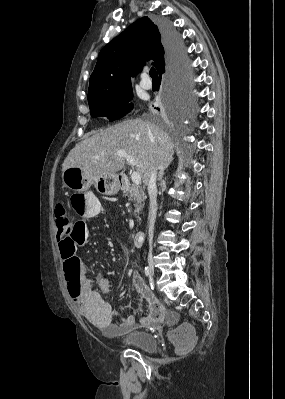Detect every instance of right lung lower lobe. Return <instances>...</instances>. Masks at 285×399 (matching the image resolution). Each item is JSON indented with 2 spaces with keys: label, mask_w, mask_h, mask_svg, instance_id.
<instances>
[{
  "label": "right lung lower lobe",
  "mask_w": 285,
  "mask_h": 399,
  "mask_svg": "<svg viewBox=\"0 0 285 399\" xmlns=\"http://www.w3.org/2000/svg\"><path fill=\"white\" fill-rule=\"evenodd\" d=\"M159 29L163 39L167 62L166 69L164 67L159 73L160 80L162 74L166 72L167 80L174 86L183 75L182 64L185 59L183 43L169 22H161Z\"/></svg>",
  "instance_id": "1"
}]
</instances>
